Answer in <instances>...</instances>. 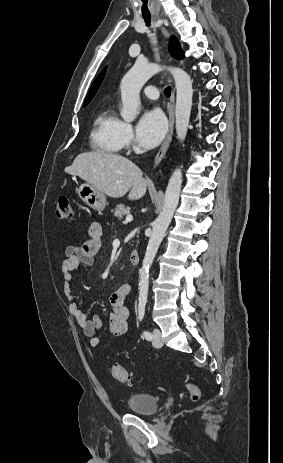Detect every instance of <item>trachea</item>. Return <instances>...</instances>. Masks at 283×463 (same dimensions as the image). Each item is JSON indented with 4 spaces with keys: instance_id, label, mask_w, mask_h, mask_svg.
I'll use <instances>...</instances> for the list:
<instances>
[{
    "instance_id": "3493384b",
    "label": "trachea",
    "mask_w": 283,
    "mask_h": 463,
    "mask_svg": "<svg viewBox=\"0 0 283 463\" xmlns=\"http://www.w3.org/2000/svg\"><path fill=\"white\" fill-rule=\"evenodd\" d=\"M143 19L146 22V25L150 26V21H151L150 15H143ZM164 93H165L166 97L169 98L170 95H171V87L170 86L166 87L165 90H164Z\"/></svg>"
}]
</instances>
